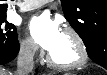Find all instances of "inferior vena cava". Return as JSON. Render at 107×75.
I'll return each instance as SVG.
<instances>
[{
  "instance_id": "1",
  "label": "inferior vena cava",
  "mask_w": 107,
  "mask_h": 75,
  "mask_svg": "<svg viewBox=\"0 0 107 75\" xmlns=\"http://www.w3.org/2000/svg\"><path fill=\"white\" fill-rule=\"evenodd\" d=\"M37 46L34 42L22 45L17 56V70L14 75H29L34 67V55Z\"/></svg>"
}]
</instances>
